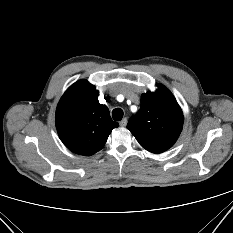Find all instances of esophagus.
<instances>
[{
  "mask_svg": "<svg viewBox=\"0 0 233 233\" xmlns=\"http://www.w3.org/2000/svg\"><path fill=\"white\" fill-rule=\"evenodd\" d=\"M119 124L121 127H125L127 125V118H123Z\"/></svg>",
  "mask_w": 233,
  "mask_h": 233,
  "instance_id": "obj_1",
  "label": "esophagus"
}]
</instances>
